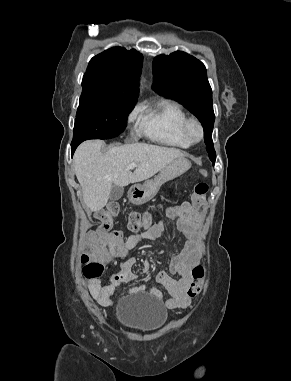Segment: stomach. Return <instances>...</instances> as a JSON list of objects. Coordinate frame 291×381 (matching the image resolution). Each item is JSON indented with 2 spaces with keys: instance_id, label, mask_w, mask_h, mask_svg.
<instances>
[{
  "instance_id": "0dacf381",
  "label": "stomach",
  "mask_w": 291,
  "mask_h": 381,
  "mask_svg": "<svg viewBox=\"0 0 291 381\" xmlns=\"http://www.w3.org/2000/svg\"><path fill=\"white\" fill-rule=\"evenodd\" d=\"M190 167L191 162L185 157L173 160L154 179L132 186L128 193L130 202L136 205L148 202L158 193L165 182L182 175Z\"/></svg>"
}]
</instances>
